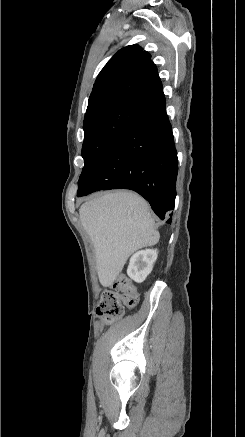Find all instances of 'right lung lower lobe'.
I'll list each match as a JSON object with an SVG mask.
<instances>
[{"mask_svg": "<svg viewBox=\"0 0 245 437\" xmlns=\"http://www.w3.org/2000/svg\"><path fill=\"white\" fill-rule=\"evenodd\" d=\"M178 158L165 101L142 109L119 133L77 196L98 190L131 189L155 214L171 223Z\"/></svg>", "mask_w": 245, "mask_h": 437, "instance_id": "98d812e1", "label": "right lung lower lobe"}]
</instances>
